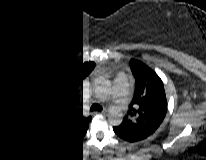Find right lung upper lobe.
<instances>
[{"instance_id": "1", "label": "right lung upper lobe", "mask_w": 206, "mask_h": 160, "mask_svg": "<svg viewBox=\"0 0 206 160\" xmlns=\"http://www.w3.org/2000/svg\"><path fill=\"white\" fill-rule=\"evenodd\" d=\"M78 80L69 69L54 71L39 86L36 119L54 140L69 142L82 137L89 119L77 112Z\"/></svg>"}]
</instances>
